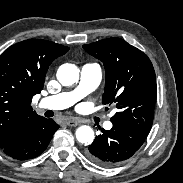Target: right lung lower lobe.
<instances>
[{"label":"right lung lower lobe","mask_w":183,"mask_h":183,"mask_svg":"<svg viewBox=\"0 0 183 183\" xmlns=\"http://www.w3.org/2000/svg\"><path fill=\"white\" fill-rule=\"evenodd\" d=\"M58 128L59 125L52 119L41 116L29 118L16 127L10 139L0 149L13 159L35 158L47 148Z\"/></svg>","instance_id":"98d812e1"}]
</instances>
